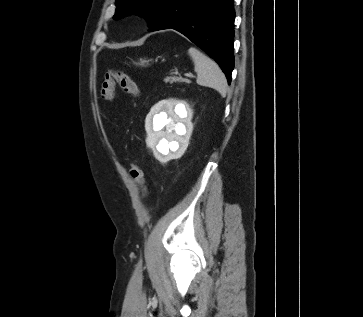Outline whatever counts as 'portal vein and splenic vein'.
Here are the masks:
<instances>
[{
    "instance_id": "portal-vein-and-splenic-vein-1",
    "label": "portal vein and splenic vein",
    "mask_w": 363,
    "mask_h": 317,
    "mask_svg": "<svg viewBox=\"0 0 363 317\" xmlns=\"http://www.w3.org/2000/svg\"><path fill=\"white\" fill-rule=\"evenodd\" d=\"M185 76H186L187 78H192V77H193V74H192V73H186V74H185Z\"/></svg>"
}]
</instances>
